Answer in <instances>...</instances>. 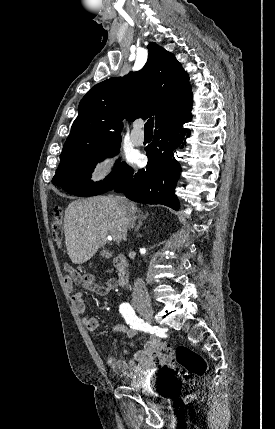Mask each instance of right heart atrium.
<instances>
[{
  "label": "right heart atrium",
  "mask_w": 275,
  "mask_h": 429,
  "mask_svg": "<svg viewBox=\"0 0 275 429\" xmlns=\"http://www.w3.org/2000/svg\"><path fill=\"white\" fill-rule=\"evenodd\" d=\"M115 167V156L110 151H103L94 156L91 163L92 181L101 182L109 178Z\"/></svg>",
  "instance_id": "d8ad5b80"
}]
</instances>
